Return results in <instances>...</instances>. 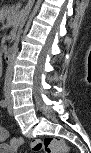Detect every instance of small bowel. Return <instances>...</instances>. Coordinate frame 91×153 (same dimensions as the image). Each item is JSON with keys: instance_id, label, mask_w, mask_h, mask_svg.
<instances>
[{"instance_id": "small-bowel-1", "label": "small bowel", "mask_w": 91, "mask_h": 153, "mask_svg": "<svg viewBox=\"0 0 91 153\" xmlns=\"http://www.w3.org/2000/svg\"><path fill=\"white\" fill-rule=\"evenodd\" d=\"M8 138V132L5 129H0V151L3 153H12L16 151L15 143L17 138L13 139L10 144L5 143L4 141Z\"/></svg>"}]
</instances>
